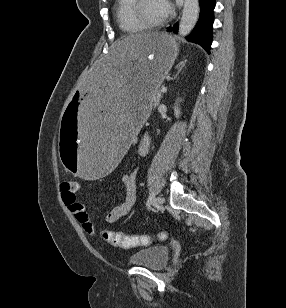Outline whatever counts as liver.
Listing matches in <instances>:
<instances>
[{
  "mask_svg": "<svg viewBox=\"0 0 286 308\" xmlns=\"http://www.w3.org/2000/svg\"><path fill=\"white\" fill-rule=\"evenodd\" d=\"M144 35H148V34H143V35L139 34V35H134V36H130V37L144 36ZM130 37H128V38H130ZM128 38H126V39H128ZM121 41H122V40H121ZM121 41H119L118 43H116V44L114 45L112 53H114V52L118 49V47H119Z\"/></svg>",
  "mask_w": 286,
  "mask_h": 308,
  "instance_id": "liver-1",
  "label": "liver"
}]
</instances>
